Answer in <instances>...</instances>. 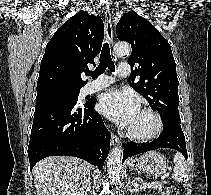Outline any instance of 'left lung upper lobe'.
<instances>
[{
	"instance_id": "obj_1",
	"label": "left lung upper lobe",
	"mask_w": 211,
	"mask_h": 195,
	"mask_svg": "<svg viewBox=\"0 0 211 195\" xmlns=\"http://www.w3.org/2000/svg\"><path fill=\"white\" fill-rule=\"evenodd\" d=\"M117 37L131 44L129 65L133 88L156 109L162 122H181L176 64L168 41L135 12L124 14L116 26ZM136 77L139 82L134 84Z\"/></svg>"
}]
</instances>
